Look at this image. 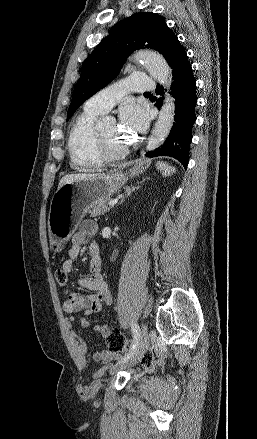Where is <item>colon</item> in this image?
Instances as JSON below:
<instances>
[{
	"mask_svg": "<svg viewBox=\"0 0 257 439\" xmlns=\"http://www.w3.org/2000/svg\"><path fill=\"white\" fill-rule=\"evenodd\" d=\"M55 279L59 285H66L68 282V273L60 268L55 272ZM105 340L108 350L114 353L123 352L129 346L127 339L118 329L109 330L105 336ZM153 361L154 357L152 355H148L142 360L143 364L147 367L152 366Z\"/></svg>",
	"mask_w": 257,
	"mask_h": 439,
	"instance_id": "5ec220e1",
	"label": "colon"
}]
</instances>
